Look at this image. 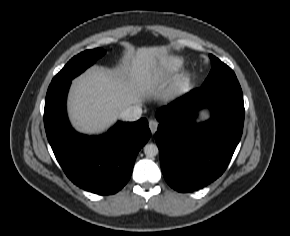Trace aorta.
Wrapping results in <instances>:
<instances>
[{"instance_id": "762f6f07", "label": "aorta", "mask_w": 290, "mask_h": 236, "mask_svg": "<svg viewBox=\"0 0 290 236\" xmlns=\"http://www.w3.org/2000/svg\"><path fill=\"white\" fill-rule=\"evenodd\" d=\"M158 152L159 150L156 144L150 143L144 146V153L147 157H154Z\"/></svg>"}]
</instances>
